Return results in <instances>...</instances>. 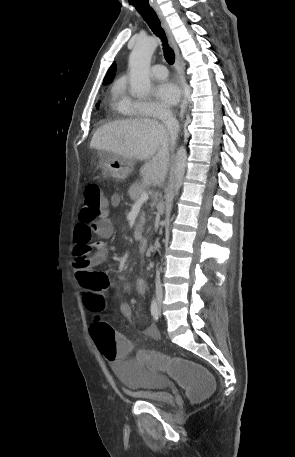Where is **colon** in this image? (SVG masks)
I'll use <instances>...</instances> for the list:
<instances>
[{
  "mask_svg": "<svg viewBox=\"0 0 295 457\" xmlns=\"http://www.w3.org/2000/svg\"><path fill=\"white\" fill-rule=\"evenodd\" d=\"M108 202L102 195L98 184H89L84 193V200L79 211V220L84 224H93L108 213ZM87 246H78L74 251V265L84 268L87 264ZM110 289V278L106 274L95 271L87 272V291L84 292V303L92 313H99L105 304L102 292ZM91 335L98 347L102 359L112 362L126 363L127 355L132 354V342L127 341L125 330H113L101 317H97L91 325ZM138 353L142 354L146 372H157L159 360H163V351L157 347H139ZM172 368V377L179 381V390H186L188 398L198 402L206 398L215 384L213 375L207 369H202L201 363H185L184 357H170L167 360ZM180 377V378H179Z\"/></svg>",
  "mask_w": 295,
  "mask_h": 457,
  "instance_id": "colon-1",
  "label": "colon"
}]
</instances>
